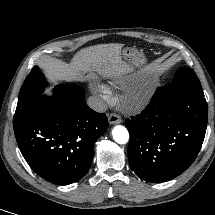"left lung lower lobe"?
Returning <instances> with one entry per match:
<instances>
[{
  "label": "left lung lower lobe",
  "mask_w": 215,
  "mask_h": 215,
  "mask_svg": "<svg viewBox=\"0 0 215 215\" xmlns=\"http://www.w3.org/2000/svg\"><path fill=\"white\" fill-rule=\"evenodd\" d=\"M203 90L176 83L157 88L148 106L126 119L132 170L148 182L184 172L197 157L207 127Z\"/></svg>",
  "instance_id": "1"
}]
</instances>
